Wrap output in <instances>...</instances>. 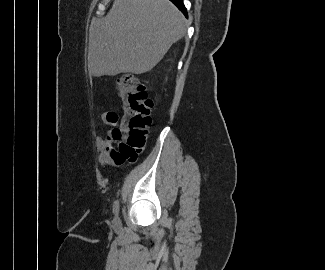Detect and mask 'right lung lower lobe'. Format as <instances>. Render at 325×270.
I'll return each mask as SVG.
<instances>
[{
	"label": "right lung lower lobe",
	"instance_id": "right-lung-lower-lobe-1",
	"mask_svg": "<svg viewBox=\"0 0 325 270\" xmlns=\"http://www.w3.org/2000/svg\"><path fill=\"white\" fill-rule=\"evenodd\" d=\"M172 3H174L179 10H181L185 15H187L186 9L183 5V0H170Z\"/></svg>",
	"mask_w": 325,
	"mask_h": 270
}]
</instances>
